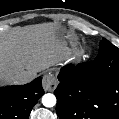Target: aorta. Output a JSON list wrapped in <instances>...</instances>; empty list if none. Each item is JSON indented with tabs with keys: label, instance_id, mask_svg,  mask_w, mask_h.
<instances>
[{
	"label": "aorta",
	"instance_id": "762f6f07",
	"mask_svg": "<svg viewBox=\"0 0 119 119\" xmlns=\"http://www.w3.org/2000/svg\"><path fill=\"white\" fill-rule=\"evenodd\" d=\"M42 104L45 107H53V106H55V104H56L55 95L51 94V93L44 94L43 97H42Z\"/></svg>",
	"mask_w": 119,
	"mask_h": 119
}]
</instances>
